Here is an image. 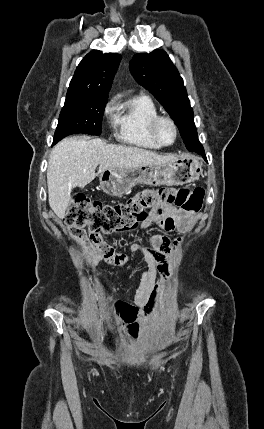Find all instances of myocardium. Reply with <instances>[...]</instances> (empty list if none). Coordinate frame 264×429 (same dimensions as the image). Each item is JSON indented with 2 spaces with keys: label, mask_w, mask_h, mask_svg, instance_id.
Masks as SVG:
<instances>
[{
  "label": "myocardium",
  "mask_w": 264,
  "mask_h": 429,
  "mask_svg": "<svg viewBox=\"0 0 264 429\" xmlns=\"http://www.w3.org/2000/svg\"><path fill=\"white\" fill-rule=\"evenodd\" d=\"M162 122H168L173 128L174 139L170 143H165L164 141L161 140V138L159 136L158 129H159V126ZM149 132H150V135L153 138V140L162 147H167V146L173 145L178 138V127H177L176 122L174 121L173 118L166 116V115H157L155 118H153V120L150 122V125H149Z\"/></svg>",
  "instance_id": "obj_1"
}]
</instances>
